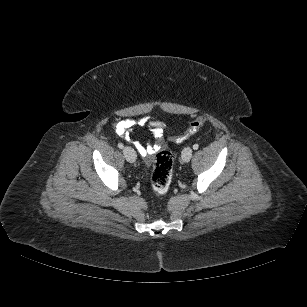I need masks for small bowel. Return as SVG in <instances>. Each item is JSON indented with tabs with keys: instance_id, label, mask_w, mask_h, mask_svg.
Wrapping results in <instances>:
<instances>
[{
	"instance_id": "1",
	"label": "small bowel",
	"mask_w": 307,
	"mask_h": 307,
	"mask_svg": "<svg viewBox=\"0 0 307 307\" xmlns=\"http://www.w3.org/2000/svg\"><path fill=\"white\" fill-rule=\"evenodd\" d=\"M148 126L154 135L155 143L142 145L135 143L137 151L140 155L148 157L159 150L163 145V130L165 124L161 121H150L149 117L136 119H125L114 124V129L119 136L128 137L129 133L136 127Z\"/></svg>"
}]
</instances>
